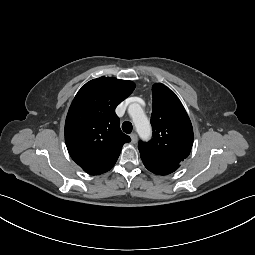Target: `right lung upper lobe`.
<instances>
[{
    "instance_id": "1",
    "label": "right lung upper lobe",
    "mask_w": 255,
    "mask_h": 255,
    "mask_svg": "<svg viewBox=\"0 0 255 255\" xmlns=\"http://www.w3.org/2000/svg\"><path fill=\"white\" fill-rule=\"evenodd\" d=\"M134 88L132 81L100 77L87 82L73 99L65 122V142L71 158L86 173L109 171L122 146L131 141L120 129L115 108Z\"/></svg>"
}]
</instances>
